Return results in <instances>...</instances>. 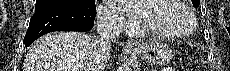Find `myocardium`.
<instances>
[{
	"mask_svg": "<svg viewBox=\"0 0 230 71\" xmlns=\"http://www.w3.org/2000/svg\"><path fill=\"white\" fill-rule=\"evenodd\" d=\"M147 1H153V0H146V2ZM174 1H176L178 5L183 7L188 13V15L190 16L192 25L188 31L181 33V34H173V33H167V32H163V31L154 29L146 22L144 18V10L141 7H140L141 12L139 14L140 23L136 27V29H138L142 33H146L156 39H161V40H183V39L190 37L196 31L197 26H198L196 15L191 9V7L185 1H182V0H174Z\"/></svg>",
	"mask_w": 230,
	"mask_h": 71,
	"instance_id": "myocardium-1",
	"label": "myocardium"
}]
</instances>
